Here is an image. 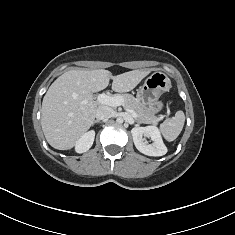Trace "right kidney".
Returning a JSON list of instances; mask_svg holds the SVG:
<instances>
[{
	"label": "right kidney",
	"mask_w": 235,
	"mask_h": 235,
	"mask_svg": "<svg viewBox=\"0 0 235 235\" xmlns=\"http://www.w3.org/2000/svg\"><path fill=\"white\" fill-rule=\"evenodd\" d=\"M94 138H95V132L93 130L83 134L77 140V142L75 144L76 152L77 153H84V152L88 151L94 142Z\"/></svg>",
	"instance_id": "1"
}]
</instances>
